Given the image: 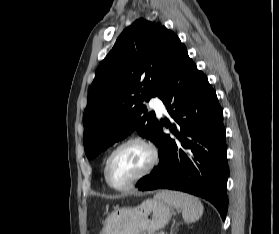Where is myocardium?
Listing matches in <instances>:
<instances>
[{"instance_id": "myocardium-1", "label": "myocardium", "mask_w": 279, "mask_h": 234, "mask_svg": "<svg viewBox=\"0 0 279 234\" xmlns=\"http://www.w3.org/2000/svg\"><path fill=\"white\" fill-rule=\"evenodd\" d=\"M130 144H140L143 147H145L149 152V156H150L149 162H148L147 166L143 169V171L140 174H138L135 178H133L131 181H129L125 184H122V185H116L111 181L110 176H109V168H110L111 161H112L113 157L122 148H124ZM158 162H159L158 150H157L156 146L150 140H148L144 137H141V136L129 137V138L123 140L121 143H119L107 157L106 162H105V167H104L105 180L108 183V185L115 190H118V191L128 190L131 187H133L134 185H136L138 182H140L142 179L147 177L153 171V169L158 164Z\"/></svg>"}]
</instances>
